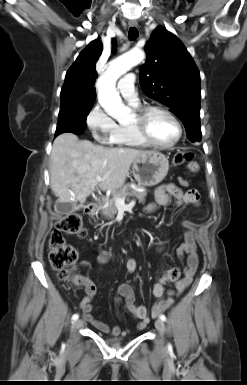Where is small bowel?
I'll return each instance as SVG.
<instances>
[{
	"instance_id": "small-bowel-1",
	"label": "small bowel",
	"mask_w": 247,
	"mask_h": 385,
	"mask_svg": "<svg viewBox=\"0 0 247 385\" xmlns=\"http://www.w3.org/2000/svg\"><path fill=\"white\" fill-rule=\"evenodd\" d=\"M185 182L179 180V184ZM200 195L196 189H189L183 192L178 186L172 183L160 186L155 193V203L147 207V212H154L160 206L173 205L181 207L184 205H199ZM193 222L186 220L183 226L186 228L184 232V242L177 248V257L184 262L183 275L178 268H170L160 277L153 287V295L157 299L151 308V316L156 317L174 303V295H180L190 285L198 266V252L193 232ZM113 259V254L109 250H103L97 257L99 265L106 264ZM126 268L129 272L138 271V265L135 259H128ZM86 282V296L82 299L80 307L83 316L95 329L110 334L112 336H123L127 331L122 330L119 326H109L100 321L93 315L92 298L96 293L94 283L86 276H81ZM167 284H174V289L165 290ZM166 296V297H165ZM125 301V310L135 319L138 320L137 330L141 331L146 328L150 317L148 309L145 305H136L134 290L132 285L128 283L121 284L117 289V295L114 299L116 308Z\"/></svg>"
}]
</instances>
